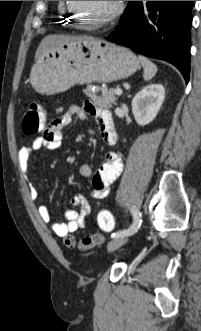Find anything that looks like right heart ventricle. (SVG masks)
<instances>
[{
  "mask_svg": "<svg viewBox=\"0 0 201 331\" xmlns=\"http://www.w3.org/2000/svg\"><path fill=\"white\" fill-rule=\"evenodd\" d=\"M58 12L60 14L61 20H66L69 24H75L76 18L75 14L70 10L68 6V1H59L58 2Z\"/></svg>",
  "mask_w": 201,
  "mask_h": 331,
  "instance_id": "obj_1",
  "label": "right heart ventricle"
}]
</instances>
